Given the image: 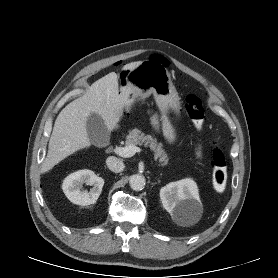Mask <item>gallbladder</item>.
<instances>
[{"label": "gallbladder", "instance_id": "1", "mask_svg": "<svg viewBox=\"0 0 278 278\" xmlns=\"http://www.w3.org/2000/svg\"><path fill=\"white\" fill-rule=\"evenodd\" d=\"M87 134L90 142L97 147H105L109 144L110 133L101 118L97 113H91L88 116L87 123Z\"/></svg>", "mask_w": 278, "mask_h": 278}]
</instances>
